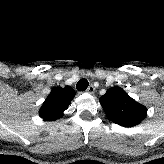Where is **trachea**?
<instances>
[{
  "instance_id": "trachea-1",
  "label": "trachea",
  "mask_w": 164,
  "mask_h": 164,
  "mask_svg": "<svg viewBox=\"0 0 164 164\" xmlns=\"http://www.w3.org/2000/svg\"><path fill=\"white\" fill-rule=\"evenodd\" d=\"M89 83L85 78H82L78 81L76 88L78 91H85L88 87Z\"/></svg>"
}]
</instances>
